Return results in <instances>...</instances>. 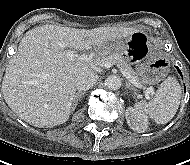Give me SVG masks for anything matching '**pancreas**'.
Instances as JSON below:
<instances>
[{
  "instance_id": "cf45deb5",
  "label": "pancreas",
  "mask_w": 190,
  "mask_h": 165,
  "mask_svg": "<svg viewBox=\"0 0 190 165\" xmlns=\"http://www.w3.org/2000/svg\"><path fill=\"white\" fill-rule=\"evenodd\" d=\"M99 62L102 64L107 63V62H111V63L117 65V67L119 69H122V70L128 72L130 75H132L140 83V79L138 78V74L132 69V67L125 61V59L119 53L112 52L108 56L102 55L99 58Z\"/></svg>"
}]
</instances>
